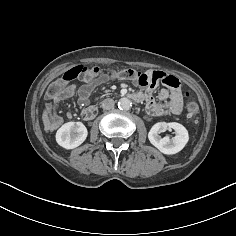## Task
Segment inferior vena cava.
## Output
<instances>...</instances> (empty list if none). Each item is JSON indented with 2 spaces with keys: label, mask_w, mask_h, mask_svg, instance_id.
I'll use <instances>...</instances> for the list:
<instances>
[{
  "label": "inferior vena cava",
  "mask_w": 236,
  "mask_h": 236,
  "mask_svg": "<svg viewBox=\"0 0 236 236\" xmlns=\"http://www.w3.org/2000/svg\"><path fill=\"white\" fill-rule=\"evenodd\" d=\"M114 105H115V102L111 98H107L102 101V108L105 110L112 109L114 107Z\"/></svg>",
  "instance_id": "obj_1"
}]
</instances>
